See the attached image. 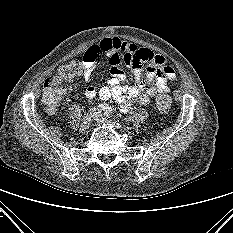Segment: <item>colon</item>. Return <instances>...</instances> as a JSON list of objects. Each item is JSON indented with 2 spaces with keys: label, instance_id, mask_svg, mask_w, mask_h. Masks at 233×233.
<instances>
[{
  "label": "colon",
  "instance_id": "5ec220e1",
  "mask_svg": "<svg viewBox=\"0 0 233 233\" xmlns=\"http://www.w3.org/2000/svg\"><path fill=\"white\" fill-rule=\"evenodd\" d=\"M83 72V62L72 61L59 67L57 73L45 81L42 93V103L47 112L52 113L64 91L63 84ZM155 106L159 112L165 113L171 107V97L160 93L155 99Z\"/></svg>",
  "mask_w": 233,
  "mask_h": 233
}]
</instances>
